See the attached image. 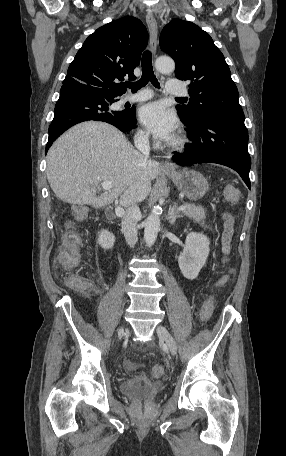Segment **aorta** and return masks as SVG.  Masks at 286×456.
I'll return each mask as SVG.
<instances>
[{"label": "aorta", "instance_id": "obj_1", "mask_svg": "<svg viewBox=\"0 0 286 456\" xmlns=\"http://www.w3.org/2000/svg\"><path fill=\"white\" fill-rule=\"evenodd\" d=\"M155 67L160 73H170L175 69V63L171 58L159 57L155 61ZM161 208L154 206L145 222L144 239L147 245H153L157 239L160 228Z\"/></svg>", "mask_w": 286, "mask_h": 456}]
</instances>
